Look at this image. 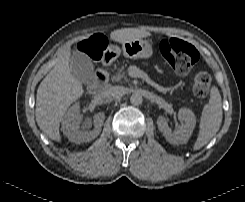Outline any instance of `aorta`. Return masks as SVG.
Here are the masks:
<instances>
[{"instance_id":"762f6f07","label":"aorta","mask_w":245,"mask_h":202,"mask_svg":"<svg viewBox=\"0 0 245 202\" xmlns=\"http://www.w3.org/2000/svg\"><path fill=\"white\" fill-rule=\"evenodd\" d=\"M142 101H143V98H142V95L140 93H134L130 97V102L133 105H140V104H142Z\"/></svg>"}]
</instances>
